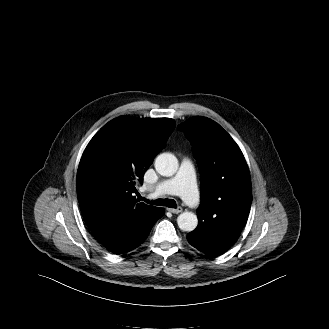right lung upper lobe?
Listing matches in <instances>:
<instances>
[{
    "instance_id": "cb5924a9",
    "label": "right lung upper lobe",
    "mask_w": 329,
    "mask_h": 329,
    "mask_svg": "<svg viewBox=\"0 0 329 329\" xmlns=\"http://www.w3.org/2000/svg\"><path fill=\"white\" fill-rule=\"evenodd\" d=\"M170 118L122 116L104 125L87 145L77 172V195L87 226L133 218L156 209L138 204L135 184L166 146L175 128Z\"/></svg>"
}]
</instances>
